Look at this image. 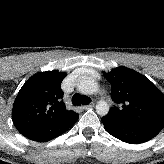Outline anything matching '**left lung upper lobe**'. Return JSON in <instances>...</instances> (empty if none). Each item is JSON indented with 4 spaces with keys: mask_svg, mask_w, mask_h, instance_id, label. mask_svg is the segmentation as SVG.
I'll return each mask as SVG.
<instances>
[{
    "mask_svg": "<svg viewBox=\"0 0 164 164\" xmlns=\"http://www.w3.org/2000/svg\"><path fill=\"white\" fill-rule=\"evenodd\" d=\"M116 103L109 111L120 120L160 132L164 128V94L145 76L118 67L103 73Z\"/></svg>",
    "mask_w": 164,
    "mask_h": 164,
    "instance_id": "5c2ea615",
    "label": "left lung upper lobe"
}]
</instances>
